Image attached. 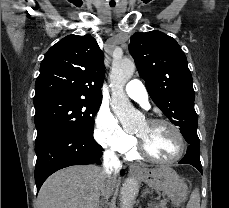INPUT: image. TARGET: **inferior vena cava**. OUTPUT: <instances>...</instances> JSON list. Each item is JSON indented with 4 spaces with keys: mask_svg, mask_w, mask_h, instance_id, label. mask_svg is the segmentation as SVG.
<instances>
[{
    "mask_svg": "<svg viewBox=\"0 0 229 208\" xmlns=\"http://www.w3.org/2000/svg\"><path fill=\"white\" fill-rule=\"evenodd\" d=\"M103 160H104V170L102 172V176L104 182H102L101 184V192H102L103 200L105 198L104 202L106 204L108 200V196H111L112 194V190L110 184H108V182H105V180L106 178H109V180H114V182H116L115 172L116 170H118L116 166H120V162L117 156H115L114 152H104Z\"/></svg>",
    "mask_w": 229,
    "mask_h": 208,
    "instance_id": "602c4592",
    "label": "inferior vena cava"
}]
</instances>
